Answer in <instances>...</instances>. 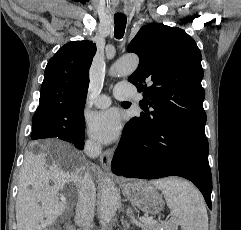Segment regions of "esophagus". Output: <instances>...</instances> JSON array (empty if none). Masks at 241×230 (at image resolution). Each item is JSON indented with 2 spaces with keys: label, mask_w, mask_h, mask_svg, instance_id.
<instances>
[{
  "label": "esophagus",
  "mask_w": 241,
  "mask_h": 230,
  "mask_svg": "<svg viewBox=\"0 0 241 230\" xmlns=\"http://www.w3.org/2000/svg\"><path fill=\"white\" fill-rule=\"evenodd\" d=\"M113 152H114L113 149H107L100 156L101 165L105 170L110 169V163H111V159H112V156H113Z\"/></svg>",
  "instance_id": "esophagus-1"
}]
</instances>
